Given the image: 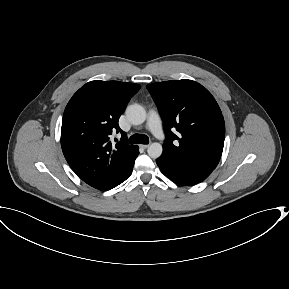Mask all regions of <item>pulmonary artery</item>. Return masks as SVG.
Here are the masks:
<instances>
[{"instance_id": "obj_1", "label": "pulmonary artery", "mask_w": 289, "mask_h": 289, "mask_svg": "<svg viewBox=\"0 0 289 289\" xmlns=\"http://www.w3.org/2000/svg\"><path fill=\"white\" fill-rule=\"evenodd\" d=\"M146 128L157 138L163 139L164 132L162 129L161 119L159 114L155 110H150L148 113V119Z\"/></svg>"}]
</instances>
